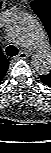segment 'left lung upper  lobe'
<instances>
[{
	"mask_svg": "<svg viewBox=\"0 0 51 153\" xmlns=\"http://www.w3.org/2000/svg\"><path fill=\"white\" fill-rule=\"evenodd\" d=\"M30 6L42 21L51 40V0H34ZM40 78L44 80L46 85H51V72L47 75H41Z\"/></svg>",
	"mask_w": 51,
	"mask_h": 153,
	"instance_id": "left-lung-upper-lobe-1",
	"label": "left lung upper lobe"
}]
</instances>
